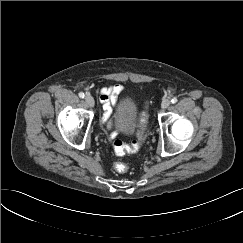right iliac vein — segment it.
Segmentation results:
<instances>
[{
  "label": "right iliac vein",
  "instance_id": "1",
  "mask_svg": "<svg viewBox=\"0 0 243 243\" xmlns=\"http://www.w3.org/2000/svg\"><path fill=\"white\" fill-rule=\"evenodd\" d=\"M85 101L86 103L90 106V107H93L94 106V99L91 95H86L85 96Z\"/></svg>",
  "mask_w": 243,
  "mask_h": 243
}]
</instances>
